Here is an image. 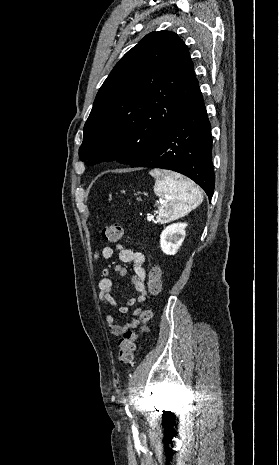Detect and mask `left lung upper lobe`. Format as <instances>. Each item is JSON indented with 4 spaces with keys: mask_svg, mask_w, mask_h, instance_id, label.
<instances>
[{
    "mask_svg": "<svg viewBox=\"0 0 279 465\" xmlns=\"http://www.w3.org/2000/svg\"><path fill=\"white\" fill-rule=\"evenodd\" d=\"M196 82L187 46L171 31L146 35L116 64L84 125L79 158L131 165L167 131Z\"/></svg>",
    "mask_w": 279,
    "mask_h": 465,
    "instance_id": "1",
    "label": "left lung upper lobe"
}]
</instances>
